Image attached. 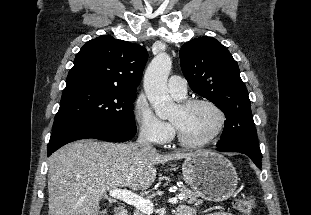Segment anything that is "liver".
<instances>
[{
	"mask_svg": "<svg viewBox=\"0 0 311 215\" xmlns=\"http://www.w3.org/2000/svg\"><path fill=\"white\" fill-rule=\"evenodd\" d=\"M191 155L160 154L136 143H70L49 158L48 215H98L106 192L122 187L143 192L156 179V164Z\"/></svg>",
	"mask_w": 311,
	"mask_h": 215,
	"instance_id": "1",
	"label": "liver"
}]
</instances>
